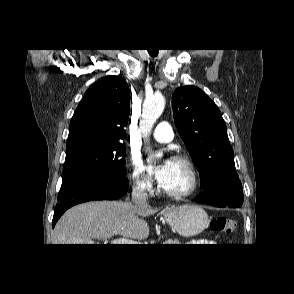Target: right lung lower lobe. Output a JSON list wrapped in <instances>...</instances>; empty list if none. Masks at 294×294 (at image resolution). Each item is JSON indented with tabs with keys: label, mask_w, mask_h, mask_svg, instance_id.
I'll use <instances>...</instances> for the list:
<instances>
[{
	"label": "right lung lower lobe",
	"mask_w": 294,
	"mask_h": 294,
	"mask_svg": "<svg viewBox=\"0 0 294 294\" xmlns=\"http://www.w3.org/2000/svg\"><path fill=\"white\" fill-rule=\"evenodd\" d=\"M128 184L126 179L102 176H80L62 184L54 211L52 227L70 207L92 200L118 199L127 193Z\"/></svg>",
	"instance_id": "1"
}]
</instances>
